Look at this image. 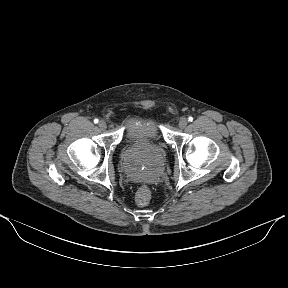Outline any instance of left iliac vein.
I'll return each mask as SVG.
<instances>
[{"instance_id": "4c4485c4", "label": "left iliac vein", "mask_w": 288, "mask_h": 288, "mask_svg": "<svg viewBox=\"0 0 288 288\" xmlns=\"http://www.w3.org/2000/svg\"><path fill=\"white\" fill-rule=\"evenodd\" d=\"M187 124H188V120L185 117H181L179 119L178 126L180 128H182V129L185 128L187 126Z\"/></svg>"}]
</instances>
